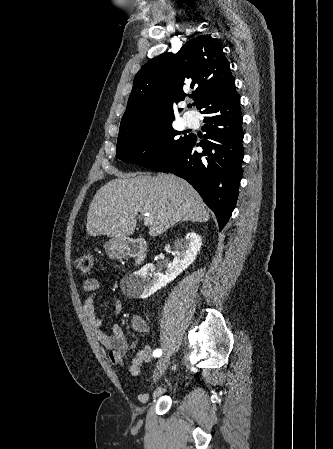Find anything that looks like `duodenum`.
Here are the masks:
<instances>
[{
    "label": "duodenum",
    "mask_w": 333,
    "mask_h": 449,
    "mask_svg": "<svg viewBox=\"0 0 333 449\" xmlns=\"http://www.w3.org/2000/svg\"><path fill=\"white\" fill-rule=\"evenodd\" d=\"M115 254L119 257H131L140 265L146 258L147 245L141 240L122 239L115 245Z\"/></svg>",
    "instance_id": "obj_1"
}]
</instances>
